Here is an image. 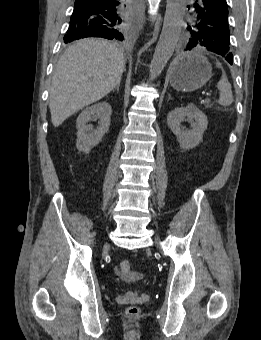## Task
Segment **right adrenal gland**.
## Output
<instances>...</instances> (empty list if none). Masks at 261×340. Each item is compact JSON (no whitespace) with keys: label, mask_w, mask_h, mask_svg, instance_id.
Instances as JSON below:
<instances>
[{"label":"right adrenal gland","mask_w":261,"mask_h":340,"mask_svg":"<svg viewBox=\"0 0 261 340\" xmlns=\"http://www.w3.org/2000/svg\"><path fill=\"white\" fill-rule=\"evenodd\" d=\"M119 87H120V82L117 84V86H116L115 89H116L117 91H119Z\"/></svg>","instance_id":"right-adrenal-gland-1"}]
</instances>
